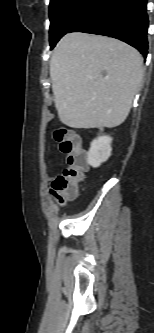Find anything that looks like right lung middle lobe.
<instances>
[{
  "label": "right lung middle lobe",
  "mask_w": 154,
  "mask_h": 333,
  "mask_svg": "<svg viewBox=\"0 0 154 333\" xmlns=\"http://www.w3.org/2000/svg\"><path fill=\"white\" fill-rule=\"evenodd\" d=\"M99 0H50V46L69 33L98 3Z\"/></svg>",
  "instance_id": "right-lung-middle-lobe-1"
}]
</instances>
